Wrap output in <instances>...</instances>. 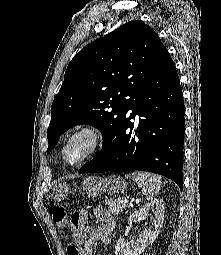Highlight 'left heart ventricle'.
I'll list each match as a JSON object with an SVG mask.
<instances>
[{
	"label": "left heart ventricle",
	"instance_id": "obj_1",
	"mask_svg": "<svg viewBox=\"0 0 221 255\" xmlns=\"http://www.w3.org/2000/svg\"><path fill=\"white\" fill-rule=\"evenodd\" d=\"M89 139L85 136H80L74 139L66 150V158L69 162L78 161L89 149Z\"/></svg>",
	"mask_w": 221,
	"mask_h": 255
}]
</instances>
